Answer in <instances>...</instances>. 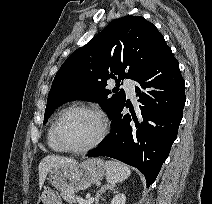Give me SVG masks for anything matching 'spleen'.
<instances>
[{
	"label": "spleen",
	"instance_id": "obj_1",
	"mask_svg": "<svg viewBox=\"0 0 212 204\" xmlns=\"http://www.w3.org/2000/svg\"><path fill=\"white\" fill-rule=\"evenodd\" d=\"M106 180L109 184L115 185L122 182L131 175L128 166L118 161H106Z\"/></svg>",
	"mask_w": 212,
	"mask_h": 204
}]
</instances>
